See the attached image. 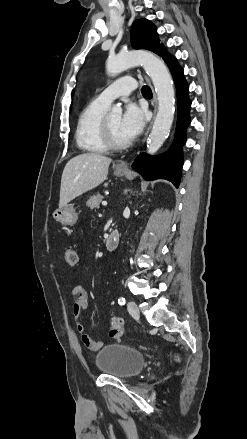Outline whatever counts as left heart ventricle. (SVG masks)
<instances>
[{
  "label": "left heart ventricle",
  "mask_w": 247,
  "mask_h": 439,
  "mask_svg": "<svg viewBox=\"0 0 247 439\" xmlns=\"http://www.w3.org/2000/svg\"><path fill=\"white\" fill-rule=\"evenodd\" d=\"M120 119L121 117L119 115H110L108 116V121L110 124V128L113 134L114 139L117 142H126L127 140L124 138L120 131Z\"/></svg>",
  "instance_id": "left-heart-ventricle-1"
}]
</instances>
